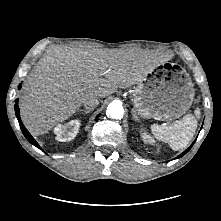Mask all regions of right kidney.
<instances>
[{
    "mask_svg": "<svg viewBox=\"0 0 221 221\" xmlns=\"http://www.w3.org/2000/svg\"><path fill=\"white\" fill-rule=\"evenodd\" d=\"M79 127H80L79 120H71L64 125L58 124L54 128L56 139L60 142L73 140L79 131Z\"/></svg>",
    "mask_w": 221,
    "mask_h": 221,
    "instance_id": "1",
    "label": "right kidney"
}]
</instances>
